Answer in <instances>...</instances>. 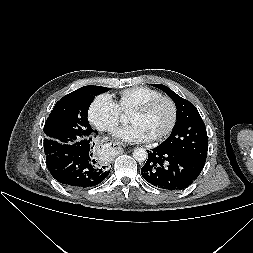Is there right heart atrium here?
<instances>
[{"label":"right heart atrium","instance_id":"right-heart-atrium-1","mask_svg":"<svg viewBox=\"0 0 253 253\" xmlns=\"http://www.w3.org/2000/svg\"><path fill=\"white\" fill-rule=\"evenodd\" d=\"M119 105L108 94H100L94 98L89 110L90 122L102 132L113 133L122 119Z\"/></svg>","mask_w":253,"mask_h":253}]
</instances>
